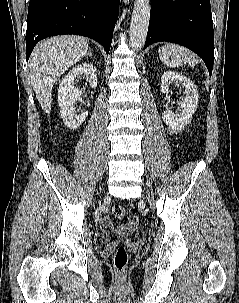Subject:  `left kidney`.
<instances>
[{"label":"left kidney","mask_w":239,"mask_h":303,"mask_svg":"<svg viewBox=\"0 0 239 303\" xmlns=\"http://www.w3.org/2000/svg\"><path fill=\"white\" fill-rule=\"evenodd\" d=\"M177 83L185 87V96L180 102L179 107L174 113L170 109L162 114L163 121L174 131L183 130L192 119V115L198 107L199 96L194 83L187 77L175 71H166L161 77V92L168 94L171 84Z\"/></svg>","instance_id":"1"}]
</instances>
